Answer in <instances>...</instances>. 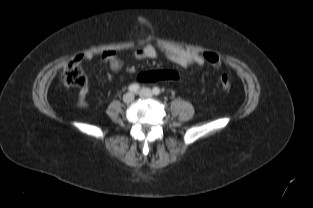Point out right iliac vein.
Segmentation results:
<instances>
[{
    "instance_id": "obj_1",
    "label": "right iliac vein",
    "mask_w": 313,
    "mask_h": 208,
    "mask_svg": "<svg viewBox=\"0 0 313 208\" xmlns=\"http://www.w3.org/2000/svg\"><path fill=\"white\" fill-rule=\"evenodd\" d=\"M134 100V95L133 93H126L124 96H123V101L125 103H131L132 101Z\"/></svg>"
}]
</instances>
